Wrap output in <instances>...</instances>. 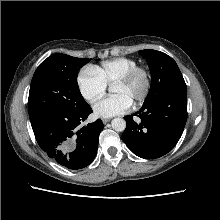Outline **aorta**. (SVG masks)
Listing matches in <instances>:
<instances>
[{
  "mask_svg": "<svg viewBox=\"0 0 220 220\" xmlns=\"http://www.w3.org/2000/svg\"><path fill=\"white\" fill-rule=\"evenodd\" d=\"M112 128L117 132H122L126 128V122L123 118H114L111 122Z\"/></svg>",
  "mask_w": 220,
  "mask_h": 220,
  "instance_id": "aorta-1",
  "label": "aorta"
}]
</instances>
